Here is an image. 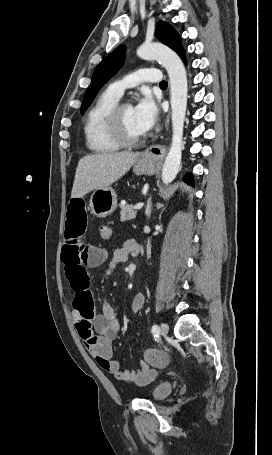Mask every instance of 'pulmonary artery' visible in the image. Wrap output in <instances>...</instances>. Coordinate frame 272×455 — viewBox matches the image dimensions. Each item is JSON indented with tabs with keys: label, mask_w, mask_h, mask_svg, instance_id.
Instances as JSON below:
<instances>
[{
	"label": "pulmonary artery",
	"mask_w": 272,
	"mask_h": 455,
	"mask_svg": "<svg viewBox=\"0 0 272 455\" xmlns=\"http://www.w3.org/2000/svg\"><path fill=\"white\" fill-rule=\"evenodd\" d=\"M161 78L159 70L153 68H142L130 75H127L123 79L112 83L109 86V90L120 97L127 88L133 87L141 82L159 83L161 82Z\"/></svg>",
	"instance_id": "1"
}]
</instances>
